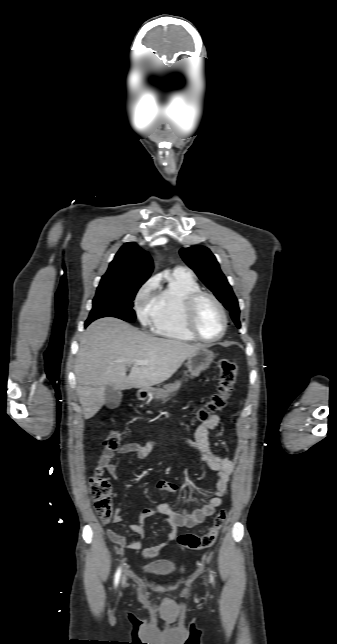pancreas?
<instances>
[{"mask_svg": "<svg viewBox=\"0 0 337 644\" xmlns=\"http://www.w3.org/2000/svg\"><path fill=\"white\" fill-rule=\"evenodd\" d=\"M180 387V382H175L173 384H168L165 386V390L157 389L156 393L158 398H161L163 401H166L170 395H173Z\"/></svg>", "mask_w": 337, "mask_h": 644, "instance_id": "1", "label": "pancreas"}]
</instances>
